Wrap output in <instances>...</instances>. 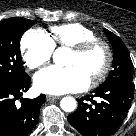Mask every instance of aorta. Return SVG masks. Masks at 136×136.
<instances>
[{"label": "aorta", "instance_id": "aorta-1", "mask_svg": "<svg viewBox=\"0 0 136 136\" xmlns=\"http://www.w3.org/2000/svg\"><path fill=\"white\" fill-rule=\"evenodd\" d=\"M53 61L58 66H64L65 61V51L63 48H58L53 54ZM76 100L73 97H64L60 102V107L65 112H72L76 108Z\"/></svg>", "mask_w": 136, "mask_h": 136}]
</instances>
